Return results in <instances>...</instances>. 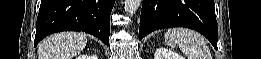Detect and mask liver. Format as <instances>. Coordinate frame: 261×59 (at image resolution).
Listing matches in <instances>:
<instances>
[{"label":"liver","mask_w":261,"mask_h":59,"mask_svg":"<svg viewBox=\"0 0 261 59\" xmlns=\"http://www.w3.org/2000/svg\"><path fill=\"white\" fill-rule=\"evenodd\" d=\"M83 33L62 32L43 39L38 45L39 59H72L86 46Z\"/></svg>","instance_id":"liver-1"}]
</instances>
